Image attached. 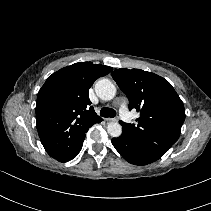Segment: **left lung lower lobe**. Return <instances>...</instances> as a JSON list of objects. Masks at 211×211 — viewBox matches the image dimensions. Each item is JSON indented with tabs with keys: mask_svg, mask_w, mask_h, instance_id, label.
I'll return each mask as SVG.
<instances>
[{
	"mask_svg": "<svg viewBox=\"0 0 211 211\" xmlns=\"http://www.w3.org/2000/svg\"><path fill=\"white\" fill-rule=\"evenodd\" d=\"M112 144L126 161L134 165H146L159 159L131 137L123 127L121 136L112 138Z\"/></svg>",
	"mask_w": 211,
	"mask_h": 211,
	"instance_id": "1",
	"label": "left lung lower lobe"
}]
</instances>
